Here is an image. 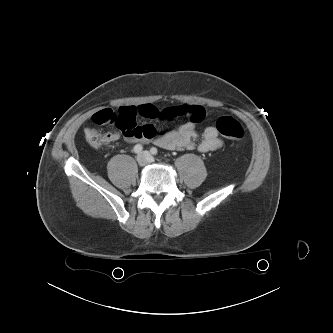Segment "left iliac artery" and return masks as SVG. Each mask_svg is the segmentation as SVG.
<instances>
[{
	"label": "left iliac artery",
	"mask_w": 333,
	"mask_h": 333,
	"mask_svg": "<svg viewBox=\"0 0 333 333\" xmlns=\"http://www.w3.org/2000/svg\"><path fill=\"white\" fill-rule=\"evenodd\" d=\"M150 152H151L153 155H156V154L158 153V150H157L156 147H152V148L150 149Z\"/></svg>",
	"instance_id": "44dca946"
}]
</instances>
